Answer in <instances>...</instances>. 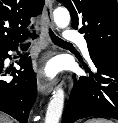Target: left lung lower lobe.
I'll return each mask as SVG.
<instances>
[{
  "instance_id": "0a47b994",
  "label": "left lung lower lobe",
  "mask_w": 118,
  "mask_h": 123,
  "mask_svg": "<svg viewBox=\"0 0 118 123\" xmlns=\"http://www.w3.org/2000/svg\"><path fill=\"white\" fill-rule=\"evenodd\" d=\"M90 53L97 72L83 65L89 77L80 76L63 113L62 123L92 116L118 119V58Z\"/></svg>"
}]
</instances>
